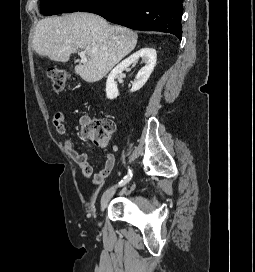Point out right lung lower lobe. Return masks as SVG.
Masks as SVG:
<instances>
[{"label": "right lung lower lobe", "mask_w": 255, "mask_h": 272, "mask_svg": "<svg viewBox=\"0 0 255 272\" xmlns=\"http://www.w3.org/2000/svg\"><path fill=\"white\" fill-rule=\"evenodd\" d=\"M183 0H94L81 12H91L108 21L135 30L161 31L182 37Z\"/></svg>", "instance_id": "right-lung-lower-lobe-1"}]
</instances>
